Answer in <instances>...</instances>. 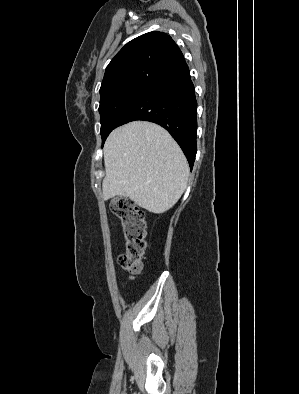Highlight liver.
<instances>
[{
    "label": "liver",
    "mask_w": 299,
    "mask_h": 394,
    "mask_svg": "<svg viewBox=\"0 0 299 394\" xmlns=\"http://www.w3.org/2000/svg\"><path fill=\"white\" fill-rule=\"evenodd\" d=\"M104 199L129 197L161 214L187 187L189 166L171 135L157 124L133 121L114 129L104 145Z\"/></svg>",
    "instance_id": "6515ba94"
}]
</instances>
